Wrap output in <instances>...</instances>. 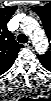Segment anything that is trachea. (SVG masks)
<instances>
[{
    "label": "trachea",
    "mask_w": 51,
    "mask_h": 101,
    "mask_svg": "<svg viewBox=\"0 0 51 101\" xmlns=\"http://www.w3.org/2000/svg\"><path fill=\"white\" fill-rule=\"evenodd\" d=\"M17 40L20 43H27L28 38H27V36L25 34H19L18 37H17Z\"/></svg>",
    "instance_id": "obj_1"
}]
</instances>
